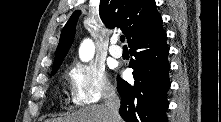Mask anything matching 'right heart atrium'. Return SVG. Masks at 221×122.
I'll list each match as a JSON object with an SVG mask.
<instances>
[{
    "instance_id": "1",
    "label": "right heart atrium",
    "mask_w": 221,
    "mask_h": 122,
    "mask_svg": "<svg viewBox=\"0 0 221 122\" xmlns=\"http://www.w3.org/2000/svg\"><path fill=\"white\" fill-rule=\"evenodd\" d=\"M72 101L75 105H89L112 96L114 90L102 66L75 63L69 72Z\"/></svg>"
}]
</instances>
